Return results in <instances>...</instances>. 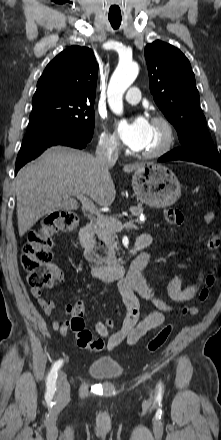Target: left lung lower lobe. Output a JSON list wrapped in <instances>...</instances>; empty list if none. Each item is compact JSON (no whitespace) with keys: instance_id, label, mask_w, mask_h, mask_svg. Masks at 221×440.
Segmentation results:
<instances>
[{"instance_id":"0a47b994","label":"left lung lower lobe","mask_w":221,"mask_h":440,"mask_svg":"<svg viewBox=\"0 0 221 440\" xmlns=\"http://www.w3.org/2000/svg\"><path fill=\"white\" fill-rule=\"evenodd\" d=\"M170 160H183V159L180 156L173 154L172 152H168L167 154L163 155L162 157H160L158 159V161H160V162L170 161ZM206 166H208V165H206ZM211 168H214L215 170H217L221 174V166H214Z\"/></svg>"}]
</instances>
